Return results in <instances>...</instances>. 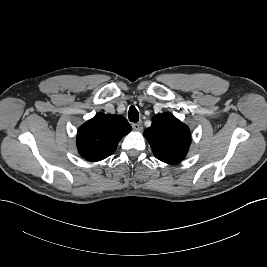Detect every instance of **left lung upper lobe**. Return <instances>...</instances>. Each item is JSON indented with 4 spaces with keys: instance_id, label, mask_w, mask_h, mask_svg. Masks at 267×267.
Returning <instances> with one entry per match:
<instances>
[{
    "instance_id": "obj_1",
    "label": "left lung upper lobe",
    "mask_w": 267,
    "mask_h": 267,
    "mask_svg": "<svg viewBox=\"0 0 267 267\" xmlns=\"http://www.w3.org/2000/svg\"><path fill=\"white\" fill-rule=\"evenodd\" d=\"M143 135L149 142L154 156L168 164L183 160L191 143L188 126L168 113L155 115L152 125Z\"/></svg>"
}]
</instances>
